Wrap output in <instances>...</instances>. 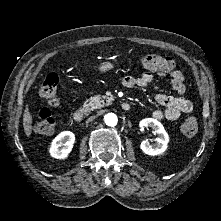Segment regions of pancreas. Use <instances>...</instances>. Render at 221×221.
Here are the masks:
<instances>
[{"mask_svg":"<svg viewBox=\"0 0 221 221\" xmlns=\"http://www.w3.org/2000/svg\"><path fill=\"white\" fill-rule=\"evenodd\" d=\"M112 100H113L112 97H107L105 95L103 96L96 95L87 99L84 102L83 107L86 111H92L103 107L105 104L109 105L112 102Z\"/></svg>","mask_w":221,"mask_h":221,"instance_id":"obj_1","label":"pancreas"}]
</instances>
